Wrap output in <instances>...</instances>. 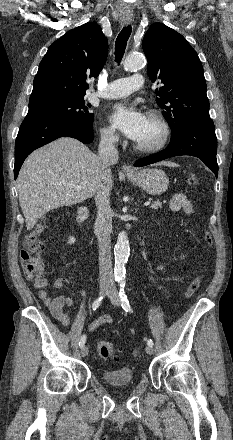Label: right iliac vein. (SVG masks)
Listing matches in <instances>:
<instances>
[{
    "mask_svg": "<svg viewBox=\"0 0 233 440\" xmlns=\"http://www.w3.org/2000/svg\"><path fill=\"white\" fill-rule=\"evenodd\" d=\"M108 289H109L108 285H105V284L101 285L100 286V295L105 294L108 291ZM88 352H89L88 347L84 345L81 348V355H82V357H86L88 355Z\"/></svg>",
    "mask_w": 233,
    "mask_h": 440,
    "instance_id": "obj_1",
    "label": "right iliac vein"
}]
</instances>
